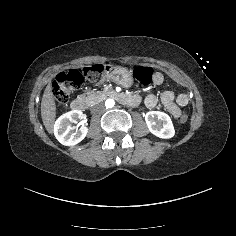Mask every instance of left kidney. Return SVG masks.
Returning <instances> with one entry per match:
<instances>
[{"mask_svg":"<svg viewBox=\"0 0 236 236\" xmlns=\"http://www.w3.org/2000/svg\"><path fill=\"white\" fill-rule=\"evenodd\" d=\"M149 131L163 139L172 138L175 134L173 123L169 115L160 111H149L145 115Z\"/></svg>","mask_w":236,"mask_h":236,"instance_id":"left-kidney-1","label":"left kidney"}]
</instances>
